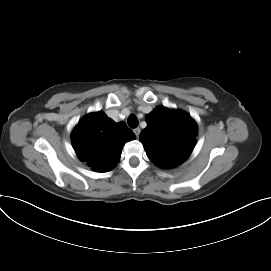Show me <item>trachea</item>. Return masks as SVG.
Returning <instances> with one entry per match:
<instances>
[{"label": "trachea", "instance_id": "1", "mask_svg": "<svg viewBox=\"0 0 271 271\" xmlns=\"http://www.w3.org/2000/svg\"><path fill=\"white\" fill-rule=\"evenodd\" d=\"M127 123L129 125V127L136 128L138 126V119L134 114H131L128 117Z\"/></svg>", "mask_w": 271, "mask_h": 271}]
</instances>
